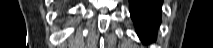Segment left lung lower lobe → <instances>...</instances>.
Segmentation results:
<instances>
[{
	"label": "left lung lower lobe",
	"instance_id": "0a47b994",
	"mask_svg": "<svg viewBox=\"0 0 213 48\" xmlns=\"http://www.w3.org/2000/svg\"><path fill=\"white\" fill-rule=\"evenodd\" d=\"M130 13L140 39L149 44L156 39L162 0H129Z\"/></svg>",
	"mask_w": 213,
	"mask_h": 48
}]
</instances>
